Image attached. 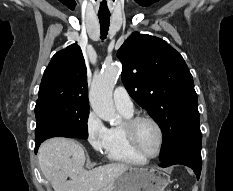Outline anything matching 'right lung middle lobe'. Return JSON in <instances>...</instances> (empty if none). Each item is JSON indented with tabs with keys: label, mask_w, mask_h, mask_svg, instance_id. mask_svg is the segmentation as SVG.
<instances>
[{
	"label": "right lung middle lobe",
	"mask_w": 233,
	"mask_h": 191,
	"mask_svg": "<svg viewBox=\"0 0 233 191\" xmlns=\"http://www.w3.org/2000/svg\"><path fill=\"white\" fill-rule=\"evenodd\" d=\"M35 116V141H44L55 136L88 138L87 107L42 101L36 103Z\"/></svg>",
	"instance_id": "right-lung-middle-lobe-1"
}]
</instances>
